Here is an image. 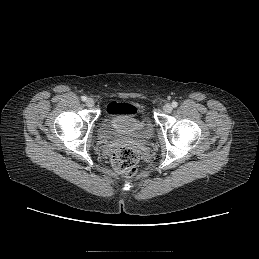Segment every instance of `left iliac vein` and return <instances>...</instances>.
<instances>
[{
    "label": "left iliac vein",
    "mask_w": 259,
    "mask_h": 259,
    "mask_svg": "<svg viewBox=\"0 0 259 259\" xmlns=\"http://www.w3.org/2000/svg\"><path fill=\"white\" fill-rule=\"evenodd\" d=\"M163 110H164V112H166V113H170V112H172V110H173V106H172L171 104L167 103V104H165V105L163 106Z\"/></svg>",
    "instance_id": "1"
}]
</instances>
